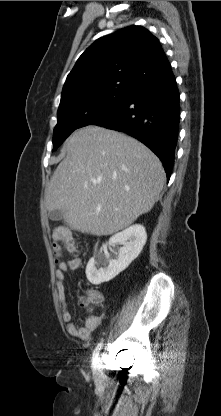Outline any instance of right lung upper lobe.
<instances>
[{
	"instance_id": "cb5924a9",
	"label": "right lung upper lobe",
	"mask_w": 221,
	"mask_h": 416,
	"mask_svg": "<svg viewBox=\"0 0 221 416\" xmlns=\"http://www.w3.org/2000/svg\"><path fill=\"white\" fill-rule=\"evenodd\" d=\"M170 71L159 40L141 26L123 28L96 40L68 74L61 102L108 88L132 91L165 79Z\"/></svg>"
}]
</instances>
